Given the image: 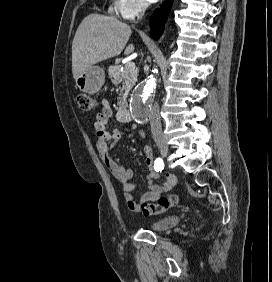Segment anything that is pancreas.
Masks as SVG:
<instances>
[{
    "label": "pancreas",
    "mask_w": 272,
    "mask_h": 282,
    "mask_svg": "<svg viewBox=\"0 0 272 282\" xmlns=\"http://www.w3.org/2000/svg\"><path fill=\"white\" fill-rule=\"evenodd\" d=\"M108 73L114 85L122 83L118 97V105H125L127 96L137 81V70H121L119 63H116L114 66L108 68Z\"/></svg>",
    "instance_id": "obj_1"
}]
</instances>
